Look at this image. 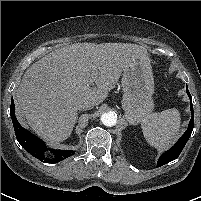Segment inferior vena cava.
<instances>
[{
  "instance_id": "1",
  "label": "inferior vena cava",
  "mask_w": 201,
  "mask_h": 201,
  "mask_svg": "<svg viewBox=\"0 0 201 201\" xmlns=\"http://www.w3.org/2000/svg\"><path fill=\"white\" fill-rule=\"evenodd\" d=\"M93 107H94V103L92 101L83 100L78 103L79 110H88V109H92Z\"/></svg>"
}]
</instances>
